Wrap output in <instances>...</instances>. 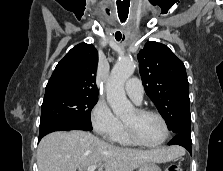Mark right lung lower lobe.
<instances>
[{"label": "right lung lower lobe", "instance_id": "1", "mask_svg": "<svg viewBox=\"0 0 223 171\" xmlns=\"http://www.w3.org/2000/svg\"><path fill=\"white\" fill-rule=\"evenodd\" d=\"M60 130H85V131H91L92 126H87L83 123H80L78 121L74 120H59L52 123H49L42 128H40L39 131V141L42 137H44L46 134L54 132V131H60Z\"/></svg>", "mask_w": 223, "mask_h": 171}]
</instances>
